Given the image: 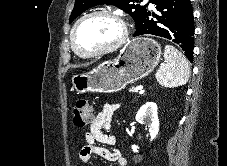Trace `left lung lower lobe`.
<instances>
[{"mask_svg":"<svg viewBox=\"0 0 227 166\" xmlns=\"http://www.w3.org/2000/svg\"><path fill=\"white\" fill-rule=\"evenodd\" d=\"M156 5L159 15L152 14L156 20H149L146 12L142 23L134 36L152 34L172 40L185 51L193 62L194 23L190 0H150Z\"/></svg>","mask_w":227,"mask_h":166,"instance_id":"0a47b994","label":"left lung lower lobe"}]
</instances>
